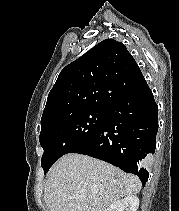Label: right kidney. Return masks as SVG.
Wrapping results in <instances>:
<instances>
[{
  "instance_id": "obj_1",
  "label": "right kidney",
  "mask_w": 179,
  "mask_h": 211,
  "mask_svg": "<svg viewBox=\"0 0 179 211\" xmlns=\"http://www.w3.org/2000/svg\"><path fill=\"white\" fill-rule=\"evenodd\" d=\"M139 199L137 196H126L121 200L112 203L106 211H137Z\"/></svg>"
}]
</instances>
